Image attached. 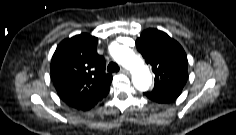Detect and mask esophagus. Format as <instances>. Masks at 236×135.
Segmentation results:
<instances>
[{
	"mask_svg": "<svg viewBox=\"0 0 236 135\" xmlns=\"http://www.w3.org/2000/svg\"><path fill=\"white\" fill-rule=\"evenodd\" d=\"M121 73H124V74H129V70L128 69H126V68H121Z\"/></svg>",
	"mask_w": 236,
	"mask_h": 135,
	"instance_id": "obj_1",
	"label": "esophagus"
}]
</instances>
